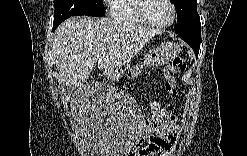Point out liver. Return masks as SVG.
Here are the masks:
<instances>
[{
	"label": "liver",
	"instance_id": "liver-1",
	"mask_svg": "<svg viewBox=\"0 0 247 156\" xmlns=\"http://www.w3.org/2000/svg\"><path fill=\"white\" fill-rule=\"evenodd\" d=\"M159 30L109 18L72 17L55 31L52 53L61 83L79 87L95 61L110 75L128 63Z\"/></svg>",
	"mask_w": 247,
	"mask_h": 156
}]
</instances>
